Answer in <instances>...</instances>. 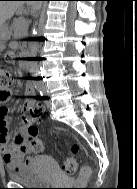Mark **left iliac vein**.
Masks as SVG:
<instances>
[{"label": "left iliac vein", "instance_id": "1", "mask_svg": "<svg viewBox=\"0 0 137 189\" xmlns=\"http://www.w3.org/2000/svg\"><path fill=\"white\" fill-rule=\"evenodd\" d=\"M45 91V90H44ZM45 106L47 107V108H50V106H51V101L50 100H46L45 101Z\"/></svg>", "mask_w": 137, "mask_h": 189}]
</instances>
